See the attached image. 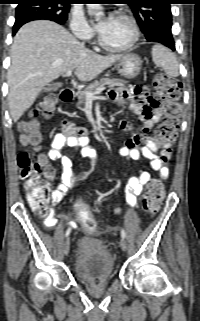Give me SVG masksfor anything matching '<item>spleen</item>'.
Here are the masks:
<instances>
[{"instance_id":"3e777b00","label":"spleen","mask_w":200,"mask_h":321,"mask_svg":"<svg viewBox=\"0 0 200 321\" xmlns=\"http://www.w3.org/2000/svg\"><path fill=\"white\" fill-rule=\"evenodd\" d=\"M152 60L157 67L162 68L169 77L179 76V65L175 55L163 45L156 44L151 50Z\"/></svg>"}]
</instances>
